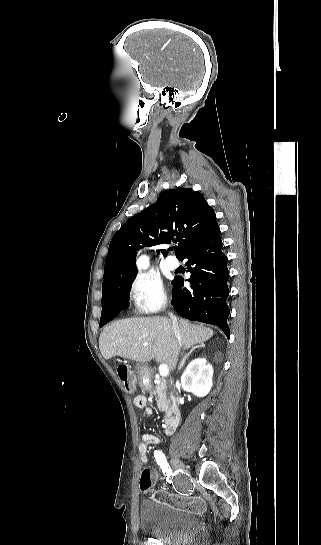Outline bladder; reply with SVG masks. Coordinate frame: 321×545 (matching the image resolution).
<instances>
[{
	"mask_svg": "<svg viewBox=\"0 0 321 545\" xmlns=\"http://www.w3.org/2000/svg\"><path fill=\"white\" fill-rule=\"evenodd\" d=\"M140 530L164 545H190L201 530L199 517L157 499H145L139 508Z\"/></svg>",
	"mask_w": 321,
	"mask_h": 545,
	"instance_id": "31cf9c89",
	"label": "bladder"
}]
</instances>
